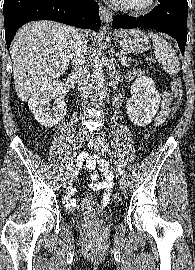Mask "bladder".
<instances>
[{"label":"bladder","instance_id":"obj_1","mask_svg":"<svg viewBox=\"0 0 195 270\" xmlns=\"http://www.w3.org/2000/svg\"><path fill=\"white\" fill-rule=\"evenodd\" d=\"M90 210L92 211V209H90ZM98 215L107 221L111 220L114 217L113 213L109 212V211H101L98 213Z\"/></svg>","mask_w":195,"mask_h":270}]
</instances>
